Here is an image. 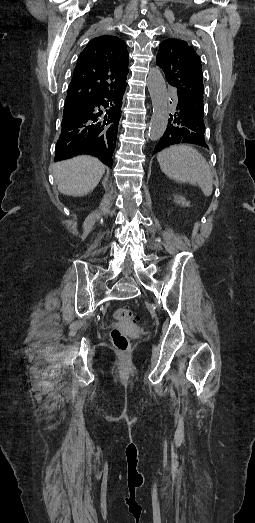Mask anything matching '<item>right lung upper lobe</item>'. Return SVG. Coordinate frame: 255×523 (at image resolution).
<instances>
[{
    "label": "right lung upper lobe",
    "instance_id": "1",
    "mask_svg": "<svg viewBox=\"0 0 255 523\" xmlns=\"http://www.w3.org/2000/svg\"><path fill=\"white\" fill-rule=\"evenodd\" d=\"M128 62L126 44L115 36L94 38L80 53L67 91L55 161L90 154L112 167ZM91 101L100 103V141L87 146L79 104Z\"/></svg>",
    "mask_w": 255,
    "mask_h": 523
}]
</instances>
